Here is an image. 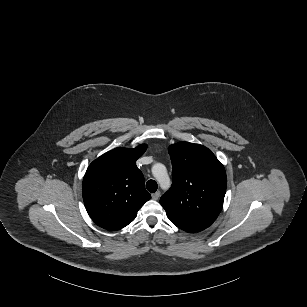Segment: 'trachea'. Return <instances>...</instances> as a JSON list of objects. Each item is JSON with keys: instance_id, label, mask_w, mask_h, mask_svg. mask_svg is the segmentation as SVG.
I'll use <instances>...</instances> for the list:
<instances>
[{"instance_id": "trachea-1", "label": "trachea", "mask_w": 307, "mask_h": 307, "mask_svg": "<svg viewBox=\"0 0 307 307\" xmlns=\"http://www.w3.org/2000/svg\"><path fill=\"white\" fill-rule=\"evenodd\" d=\"M146 188L149 192L154 193L157 190V182L154 180H148L146 183Z\"/></svg>"}]
</instances>
